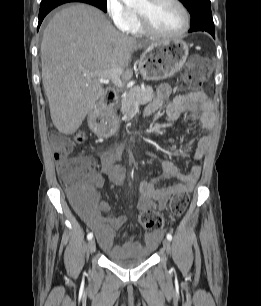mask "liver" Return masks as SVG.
<instances>
[{"mask_svg": "<svg viewBox=\"0 0 261 306\" xmlns=\"http://www.w3.org/2000/svg\"><path fill=\"white\" fill-rule=\"evenodd\" d=\"M117 31L104 13L76 4L56 13L43 32L42 82L53 124L73 134L104 94L96 72L121 68L129 81L134 51L149 46Z\"/></svg>", "mask_w": 261, "mask_h": 306, "instance_id": "liver-1", "label": "liver"}]
</instances>
